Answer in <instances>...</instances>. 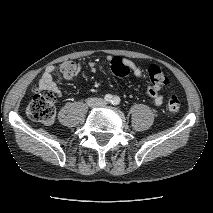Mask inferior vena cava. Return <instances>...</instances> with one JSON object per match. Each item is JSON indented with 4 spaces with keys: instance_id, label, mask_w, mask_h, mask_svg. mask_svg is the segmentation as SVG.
<instances>
[{
    "instance_id": "obj_1",
    "label": "inferior vena cava",
    "mask_w": 213,
    "mask_h": 213,
    "mask_svg": "<svg viewBox=\"0 0 213 213\" xmlns=\"http://www.w3.org/2000/svg\"><path fill=\"white\" fill-rule=\"evenodd\" d=\"M89 106L99 107L104 106L106 102L102 98H89L87 100Z\"/></svg>"
}]
</instances>
